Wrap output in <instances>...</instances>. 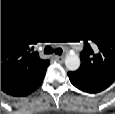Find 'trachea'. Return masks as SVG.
Returning a JSON list of instances; mask_svg holds the SVG:
<instances>
[{"mask_svg": "<svg viewBox=\"0 0 115 114\" xmlns=\"http://www.w3.org/2000/svg\"><path fill=\"white\" fill-rule=\"evenodd\" d=\"M44 52L46 54H53V53H55L57 55H61L62 54V49H60V48H58V49H52L51 47H46L44 49Z\"/></svg>", "mask_w": 115, "mask_h": 114, "instance_id": "trachea-1", "label": "trachea"}]
</instances>
